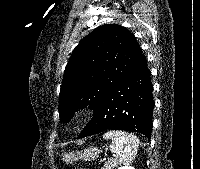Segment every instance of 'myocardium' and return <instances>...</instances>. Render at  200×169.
<instances>
[{"instance_id":"1","label":"myocardium","mask_w":200,"mask_h":169,"mask_svg":"<svg viewBox=\"0 0 200 169\" xmlns=\"http://www.w3.org/2000/svg\"><path fill=\"white\" fill-rule=\"evenodd\" d=\"M73 117L78 124H82L90 117V111L88 109H79L75 111Z\"/></svg>"}]
</instances>
